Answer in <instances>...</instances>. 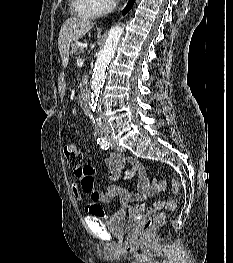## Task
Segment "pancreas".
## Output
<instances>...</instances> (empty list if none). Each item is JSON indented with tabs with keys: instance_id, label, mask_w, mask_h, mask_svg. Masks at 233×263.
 I'll use <instances>...</instances> for the list:
<instances>
[{
	"instance_id": "obj_1",
	"label": "pancreas",
	"mask_w": 233,
	"mask_h": 263,
	"mask_svg": "<svg viewBox=\"0 0 233 263\" xmlns=\"http://www.w3.org/2000/svg\"><path fill=\"white\" fill-rule=\"evenodd\" d=\"M71 48H72L71 53L74 55H80L84 53V49L82 47H79L77 44H72Z\"/></svg>"
}]
</instances>
